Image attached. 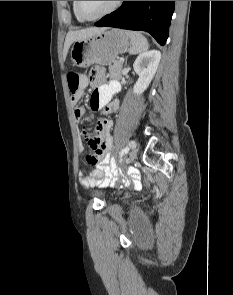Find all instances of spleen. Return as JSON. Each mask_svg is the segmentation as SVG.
Masks as SVG:
<instances>
[{
  "label": "spleen",
  "instance_id": "3e777b00",
  "mask_svg": "<svg viewBox=\"0 0 233 295\" xmlns=\"http://www.w3.org/2000/svg\"><path fill=\"white\" fill-rule=\"evenodd\" d=\"M126 34L131 40L130 54H138L146 51L149 48L147 39L140 33L135 31H126Z\"/></svg>",
  "mask_w": 233,
  "mask_h": 295
}]
</instances>
